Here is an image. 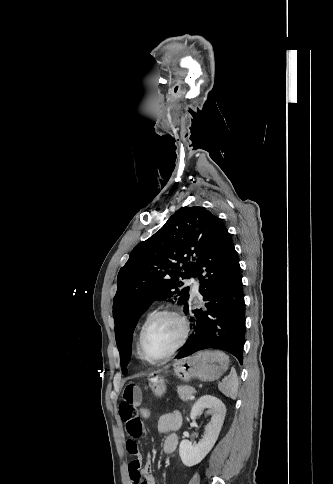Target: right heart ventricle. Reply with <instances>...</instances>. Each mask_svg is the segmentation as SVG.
I'll use <instances>...</instances> for the list:
<instances>
[{"mask_svg":"<svg viewBox=\"0 0 333 484\" xmlns=\"http://www.w3.org/2000/svg\"><path fill=\"white\" fill-rule=\"evenodd\" d=\"M151 314H152L151 312H148V313H147V314L144 316V318H143V320H142V322H141V324H140V326H139V329H138L137 340H136V350H137V354H138V355H139V353H138V339H139V334H140V331H141L142 326L144 325V323H145V322H146V320H147V319L150 317V315H151ZM139 356H140V355H139Z\"/></svg>","mask_w":333,"mask_h":484,"instance_id":"right-heart-ventricle-1","label":"right heart ventricle"}]
</instances>
